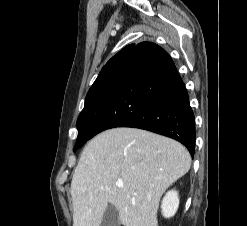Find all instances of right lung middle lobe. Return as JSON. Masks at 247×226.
I'll list each match as a JSON object with an SVG mask.
<instances>
[{"label": "right lung middle lobe", "mask_w": 247, "mask_h": 226, "mask_svg": "<svg viewBox=\"0 0 247 226\" xmlns=\"http://www.w3.org/2000/svg\"><path fill=\"white\" fill-rule=\"evenodd\" d=\"M127 59L128 56H124L112 63L89 89L77 120L78 138L74 151L91 139L94 126L118 85Z\"/></svg>", "instance_id": "dd1d6c3e"}]
</instances>
